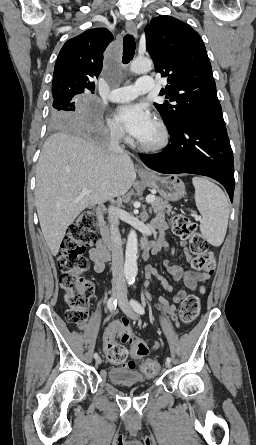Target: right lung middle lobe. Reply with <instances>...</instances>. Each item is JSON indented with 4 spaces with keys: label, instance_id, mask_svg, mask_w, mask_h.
I'll return each instance as SVG.
<instances>
[{
    "label": "right lung middle lobe",
    "instance_id": "right-lung-middle-lobe-1",
    "mask_svg": "<svg viewBox=\"0 0 256 445\" xmlns=\"http://www.w3.org/2000/svg\"><path fill=\"white\" fill-rule=\"evenodd\" d=\"M81 93L66 91L60 94H53V105L51 109V124L54 127L73 125L79 113L77 112V102Z\"/></svg>",
    "mask_w": 256,
    "mask_h": 445
}]
</instances>
